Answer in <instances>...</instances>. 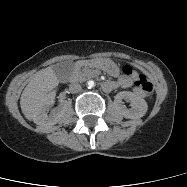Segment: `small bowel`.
<instances>
[{"label": "small bowel", "mask_w": 187, "mask_h": 187, "mask_svg": "<svg viewBox=\"0 0 187 187\" xmlns=\"http://www.w3.org/2000/svg\"><path fill=\"white\" fill-rule=\"evenodd\" d=\"M109 84H110V89H108L107 91H110L117 87L126 89V88H130L133 85V80L130 77L123 76L117 82H109Z\"/></svg>", "instance_id": "c3829d8e"}]
</instances>
